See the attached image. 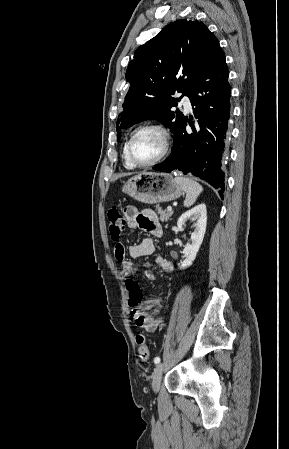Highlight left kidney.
Here are the masks:
<instances>
[{
  "label": "left kidney",
  "mask_w": 289,
  "mask_h": 449,
  "mask_svg": "<svg viewBox=\"0 0 289 449\" xmlns=\"http://www.w3.org/2000/svg\"><path fill=\"white\" fill-rule=\"evenodd\" d=\"M187 220L196 221L195 230L191 234V244H188L184 250V261L179 265L180 269H185L192 265L199 248L203 242L207 224V210L205 204H199L188 210L180 216L177 222L178 227H182Z\"/></svg>",
  "instance_id": "left-kidney-1"
}]
</instances>
